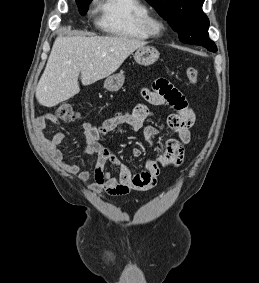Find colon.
<instances>
[{
	"label": "colon",
	"mask_w": 259,
	"mask_h": 283,
	"mask_svg": "<svg viewBox=\"0 0 259 283\" xmlns=\"http://www.w3.org/2000/svg\"><path fill=\"white\" fill-rule=\"evenodd\" d=\"M186 77L192 83L196 84L199 81V71L194 66H188L186 69ZM56 116L63 121H72L79 118V114L75 107L68 102L62 103L56 109Z\"/></svg>",
	"instance_id": "obj_1"
}]
</instances>
